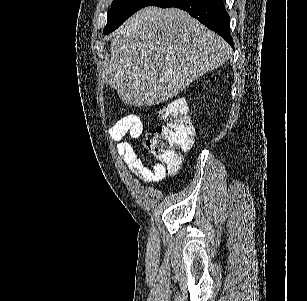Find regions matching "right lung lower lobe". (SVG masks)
<instances>
[{"mask_svg":"<svg viewBox=\"0 0 307 301\" xmlns=\"http://www.w3.org/2000/svg\"><path fill=\"white\" fill-rule=\"evenodd\" d=\"M223 0H156L150 6L161 8L176 7L187 11L203 25L218 33L232 47L233 39L229 32V15Z\"/></svg>","mask_w":307,"mask_h":301,"instance_id":"1","label":"right lung lower lobe"}]
</instances>
